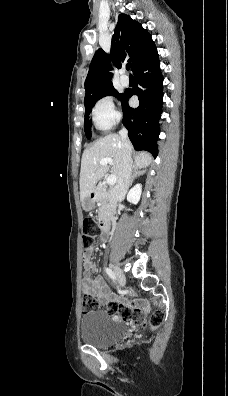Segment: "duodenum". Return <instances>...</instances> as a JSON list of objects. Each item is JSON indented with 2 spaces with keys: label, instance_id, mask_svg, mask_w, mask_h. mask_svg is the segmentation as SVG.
I'll use <instances>...</instances> for the list:
<instances>
[{
  "label": "duodenum",
  "instance_id": "obj_1",
  "mask_svg": "<svg viewBox=\"0 0 228 396\" xmlns=\"http://www.w3.org/2000/svg\"><path fill=\"white\" fill-rule=\"evenodd\" d=\"M100 227H101L102 232L106 235L111 231V229L113 227V222L109 218H102L100 220Z\"/></svg>",
  "mask_w": 228,
  "mask_h": 396
}]
</instances>
